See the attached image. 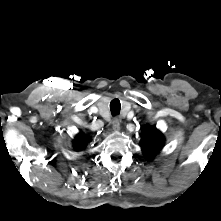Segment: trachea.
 I'll list each match as a JSON object with an SVG mask.
<instances>
[{
	"mask_svg": "<svg viewBox=\"0 0 221 221\" xmlns=\"http://www.w3.org/2000/svg\"><path fill=\"white\" fill-rule=\"evenodd\" d=\"M121 110V103L119 99H113L110 102V111L113 116L118 115Z\"/></svg>",
	"mask_w": 221,
	"mask_h": 221,
	"instance_id": "3493384b",
	"label": "trachea"
}]
</instances>
